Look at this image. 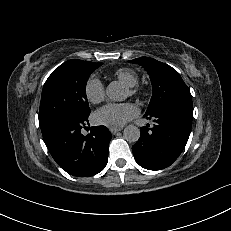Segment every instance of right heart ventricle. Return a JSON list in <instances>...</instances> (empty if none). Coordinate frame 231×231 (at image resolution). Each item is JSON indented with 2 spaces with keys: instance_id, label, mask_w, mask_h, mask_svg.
Returning <instances> with one entry per match:
<instances>
[{
  "instance_id": "1",
  "label": "right heart ventricle",
  "mask_w": 231,
  "mask_h": 231,
  "mask_svg": "<svg viewBox=\"0 0 231 231\" xmlns=\"http://www.w3.org/2000/svg\"><path fill=\"white\" fill-rule=\"evenodd\" d=\"M115 76L126 86H136L138 83L137 73L130 68H120L115 72Z\"/></svg>"
}]
</instances>
